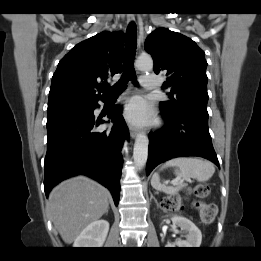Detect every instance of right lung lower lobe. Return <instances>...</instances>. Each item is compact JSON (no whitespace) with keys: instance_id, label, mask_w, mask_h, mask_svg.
I'll return each mask as SVG.
<instances>
[{"instance_id":"1","label":"right lung lower lobe","mask_w":261,"mask_h":261,"mask_svg":"<svg viewBox=\"0 0 261 261\" xmlns=\"http://www.w3.org/2000/svg\"><path fill=\"white\" fill-rule=\"evenodd\" d=\"M100 98L85 107H69L47 114V154L45 157L44 190L78 174L87 175L112 193L115 205L120 197L123 165L121 149L128 128L120 105L112 107L107 116L116 122L107 130L97 129L104 120L95 119L93 111Z\"/></svg>"}]
</instances>
